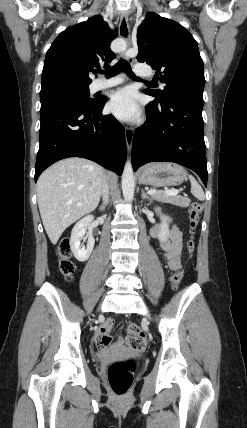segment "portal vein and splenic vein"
<instances>
[{"label": "portal vein and splenic vein", "instance_id": "portal-vein-and-splenic-vein-1", "mask_svg": "<svg viewBox=\"0 0 247 428\" xmlns=\"http://www.w3.org/2000/svg\"><path fill=\"white\" fill-rule=\"evenodd\" d=\"M161 192L163 194H165V195H171V196L172 195H177L179 193V191L176 190V189L166 190V191H161ZM147 193L150 194V195H153V194L159 193V191L151 189V190H148Z\"/></svg>", "mask_w": 247, "mask_h": 428}]
</instances>
